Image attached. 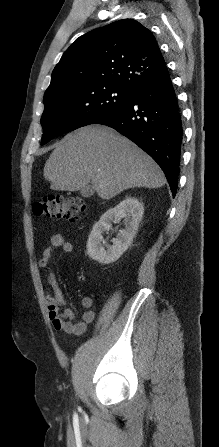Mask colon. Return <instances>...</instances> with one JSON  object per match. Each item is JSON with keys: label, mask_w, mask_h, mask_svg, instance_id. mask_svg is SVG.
I'll use <instances>...</instances> for the list:
<instances>
[{"label": "colon", "mask_w": 219, "mask_h": 447, "mask_svg": "<svg viewBox=\"0 0 219 447\" xmlns=\"http://www.w3.org/2000/svg\"><path fill=\"white\" fill-rule=\"evenodd\" d=\"M85 211V201L77 197H43L33 205V212L37 216L64 218L72 222L78 221Z\"/></svg>", "instance_id": "colon-1"}]
</instances>
